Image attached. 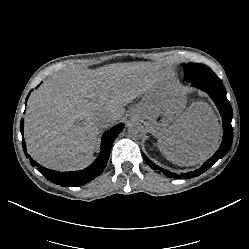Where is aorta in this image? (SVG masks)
Segmentation results:
<instances>
[{
  "label": "aorta",
  "mask_w": 249,
  "mask_h": 249,
  "mask_svg": "<svg viewBox=\"0 0 249 249\" xmlns=\"http://www.w3.org/2000/svg\"><path fill=\"white\" fill-rule=\"evenodd\" d=\"M128 134L133 139H141L145 135V128L139 122H132L128 126Z\"/></svg>",
  "instance_id": "762f6f07"
}]
</instances>
